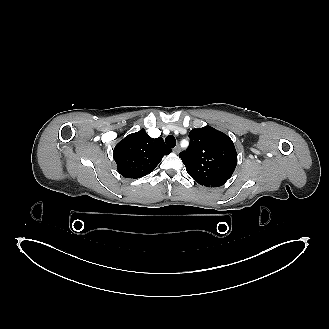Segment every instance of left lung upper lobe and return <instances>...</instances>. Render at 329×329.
<instances>
[{"label": "left lung upper lobe", "mask_w": 329, "mask_h": 329, "mask_svg": "<svg viewBox=\"0 0 329 329\" xmlns=\"http://www.w3.org/2000/svg\"><path fill=\"white\" fill-rule=\"evenodd\" d=\"M189 138V149L180 154L188 174L207 187L225 184L237 165V152L230 137L206 126L192 129Z\"/></svg>", "instance_id": "5c2ea615"}]
</instances>
